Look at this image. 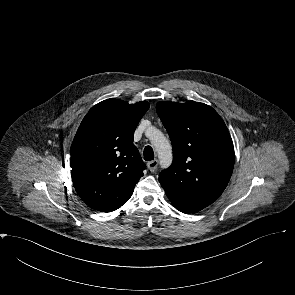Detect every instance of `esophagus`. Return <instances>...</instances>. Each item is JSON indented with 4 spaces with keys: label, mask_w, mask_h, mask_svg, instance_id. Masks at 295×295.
<instances>
[{
    "label": "esophagus",
    "mask_w": 295,
    "mask_h": 295,
    "mask_svg": "<svg viewBox=\"0 0 295 295\" xmlns=\"http://www.w3.org/2000/svg\"><path fill=\"white\" fill-rule=\"evenodd\" d=\"M147 166L151 172H155L157 169V166H158V160L155 159V160L148 162Z\"/></svg>",
    "instance_id": "34e87169"
}]
</instances>
